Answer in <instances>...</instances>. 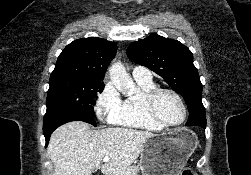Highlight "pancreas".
I'll return each instance as SVG.
<instances>
[{
	"instance_id": "cf45deb5",
	"label": "pancreas",
	"mask_w": 251,
	"mask_h": 175,
	"mask_svg": "<svg viewBox=\"0 0 251 175\" xmlns=\"http://www.w3.org/2000/svg\"><path fill=\"white\" fill-rule=\"evenodd\" d=\"M138 165H129V167H123V169H118L116 175H139Z\"/></svg>"
}]
</instances>
